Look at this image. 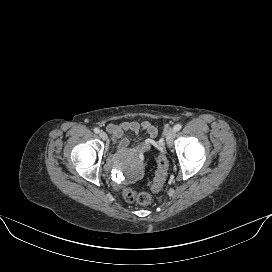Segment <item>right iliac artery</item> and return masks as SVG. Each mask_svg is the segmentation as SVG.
Masks as SVG:
<instances>
[{"label":"right iliac artery","mask_w":272,"mask_h":272,"mask_svg":"<svg viewBox=\"0 0 272 272\" xmlns=\"http://www.w3.org/2000/svg\"><path fill=\"white\" fill-rule=\"evenodd\" d=\"M94 132H95V133H99L100 130H99L98 128H94Z\"/></svg>","instance_id":"82829eb1"}]
</instances>
